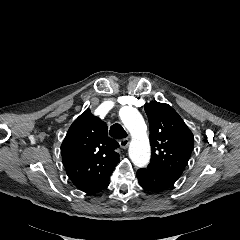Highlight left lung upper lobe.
<instances>
[{"mask_svg": "<svg viewBox=\"0 0 240 240\" xmlns=\"http://www.w3.org/2000/svg\"><path fill=\"white\" fill-rule=\"evenodd\" d=\"M150 124L151 166L177 181L194 147V137L179 114L168 104L146 103Z\"/></svg>", "mask_w": 240, "mask_h": 240, "instance_id": "obj_1", "label": "left lung upper lobe"}]
</instances>
